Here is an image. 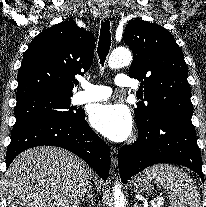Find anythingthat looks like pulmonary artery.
Masks as SVG:
<instances>
[{"mask_svg":"<svg viewBox=\"0 0 206 207\" xmlns=\"http://www.w3.org/2000/svg\"><path fill=\"white\" fill-rule=\"evenodd\" d=\"M115 84L118 86L131 85L128 76L125 74H118L115 77ZM81 88L82 90L75 93L72 97V101L75 104L106 100L112 94V89L104 85H94L88 82H83Z\"/></svg>","mask_w":206,"mask_h":207,"instance_id":"1","label":"pulmonary artery"}]
</instances>
